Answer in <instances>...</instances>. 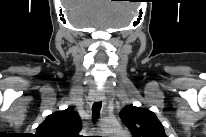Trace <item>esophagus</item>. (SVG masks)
<instances>
[{
	"label": "esophagus",
	"instance_id": "34e87169",
	"mask_svg": "<svg viewBox=\"0 0 206 137\" xmlns=\"http://www.w3.org/2000/svg\"><path fill=\"white\" fill-rule=\"evenodd\" d=\"M104 99H105V97H104L103 93L99 92V93L96 94V101L97 102H103Z\"/></svg>",
	"mask_w": 206,
	"mask_h": 137
}]
</instances>
